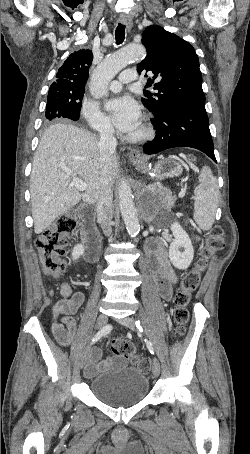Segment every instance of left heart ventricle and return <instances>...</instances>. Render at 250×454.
Listing matches in <instances>:
<instances>
[{
	"instance_id": "left-heart-ventricle-1",
	"label": "left heart ventricle",
	"mask_w": 250,
	"mask_h": 454,
	"mask_svg": "<svg viewBox=\"0 0 250 454\" xmlns=\"http://www.w3.org/2000/svg\"><path fill=\"white\" fill-rule=\"evenodd\" d=\"M140 131H141V126H140V124H139L134 130H132L131 132H129L128 135L134 136V135L139 134Z\"/></svg>"
}]
</instances>
